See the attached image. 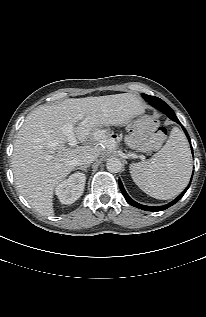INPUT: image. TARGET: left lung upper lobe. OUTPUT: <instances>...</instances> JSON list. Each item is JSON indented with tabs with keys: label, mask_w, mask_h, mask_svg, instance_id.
I'll return each mask as SVG.
<instances>
[{
	"label": "left lung upper lobe",
	"mask_w": 206,
	"mask_h": 317,
	"mask_svg": "<svg viewBox=\"0 0 206 317\" xmlns=\"http://www.w3.org/2000/svg\"><path fill=\"white\" fill-rule=\"evenodd\" d=\"M143 97L145 98L146 101H148L149 99H150V100H153V101H155L156 103H158V104H160L161 106H163L164 108H166L167 110L173 111L163 100H161V99L158 98V97L150 96V95H147V94H143Z\"/></svg>",
	"instance_id": "left-lung-upper-lobe-1"
}]
</instances>
